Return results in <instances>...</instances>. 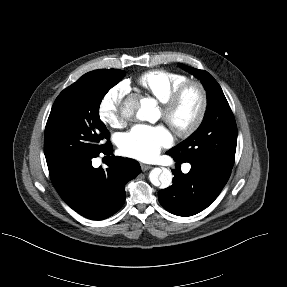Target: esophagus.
<instances>
[{"instance_id": "esophagus-1", "label": "esophagus", "mask_w": 287, "mask_h": 287, "mask_svg": "<svg viewBox=\"0 0 287 287\" xmlns=\"http://www.w3.org/2000/svg\"><path fill=\"white\" fill-rule=\"evenodd\" d=\"M152 166L151 165H147V164H141V169L142 171H147L149 169H151Z\"/></svg>"}]
</instances>
